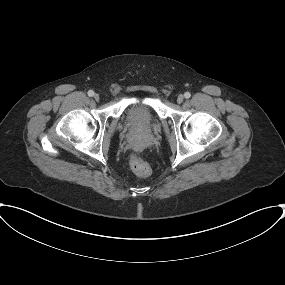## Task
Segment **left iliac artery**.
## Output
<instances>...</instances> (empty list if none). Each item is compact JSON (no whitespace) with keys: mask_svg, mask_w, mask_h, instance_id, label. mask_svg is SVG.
I'll list each match as a JSON object with an SVG mask.
<instances>
[{"mask_svg":"<svg viewBox=\"0 0 285 285\" xmlns=\"http://www.w3.org/2000/svg\"><path fill=\"white\" fill-rule=\"evenodd\" d=\"M184 97H185L186 99H188V98L191 97V94H190L189 92H185Z\"/></svg>","mask_w":285,"mask_h":285,"instance_id":"obj_1","label":"left iliac artery"}]
</instances>
